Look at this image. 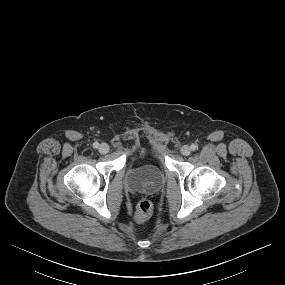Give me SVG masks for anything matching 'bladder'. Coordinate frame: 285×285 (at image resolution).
Listing matches in <instances>:
<instances>
[{
  "mask_svg": "<svg viewBox=\"0 0 285 285\" xmlns=\"http://www.w3.org/2000/svg\"><path fill=\"white\" fill-rule=\"evenodd\" d=\"M126 185L136 191H155L164 184V173L156 165H129L125 170Z\"/></svg>",
  "mask_w": 285,
  "mask_h": 285,
  "instance_id": "1",
  "label": "bladder"
}]
</instances>
